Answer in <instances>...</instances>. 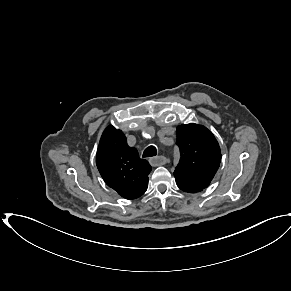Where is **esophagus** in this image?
Returning a JSON list of instances; mask_svg holds the SVG:
<instances>
[{"label": "esophagus", "mask_w": 291, "mask_h": 291, "mask_svg": "<svg viewBox=\"0 0 291 291\" xmlns=\"http://www.w3.org/2000/svg\"><path fill=\"white\" fill-rule=\"evenodd\" d=\"M149 162L152 166H161V165L166 164L167 159L165 156H157V157L150 158Z\"/></svg>", "instance_id": "1"}]
</instances>
